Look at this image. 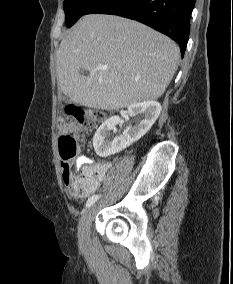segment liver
Instances as JSON below:
<instances>
[{"instance_id":"6515ba94","label":"liver","mask_w":233,"mask_h":284,"mask_svg":"<svg viewBox=\"0 0 233 284\" xmlns=\"http://www.w3.org/2000/svg\"><path fill=\"white\" fill-rule=\"evenodd\" d=\"M179 59L176 43L154 29L119 16L89 14L56 52L58 86L80 105L119 110L160 98ZM100 65L107 70L98 69Z\"/></svg>"}]
</instances>
